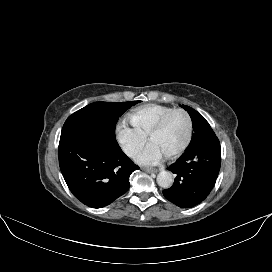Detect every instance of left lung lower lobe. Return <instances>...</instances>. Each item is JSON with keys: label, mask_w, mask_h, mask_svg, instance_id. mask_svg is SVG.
I'll use <instances>...</instances> for the list:
<instances>
[{"label": "left lung lower lobe", "mask_w": 272, "mask_h": 272, "mask_svg": "<svg viewBox=\"0 0 272 272\" xmlns=\"http://www.w3.org/2000/svg\"><path fill=\"white\" fill-rule=\"evenodd\" d=\"M221 165V148L217 137L187 148L168 170L176 174L171 188L163 191L166 199L181 208L201 203L215 185Z\"/></svg>", "instance_id": "obj_1"}]
</instances>
